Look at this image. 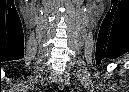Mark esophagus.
<instances>
[{
	"mask_svg": "<svg viewBox=\"0 0 129 92\" xmlns=\"http://www.w3.org/2000/svg\"><path fill=\"white\" fill-rule=\"evenodd\" d=\"M65 85H66L65 79L62 76H60L59 79H58V86H59V88L60 89H64Z\"/></svg>",
	"mask_w": 129,
	"mask_h": 92,
	"instance_id": "obj_1",
	"label": "esophagus"
}]
</instances>
